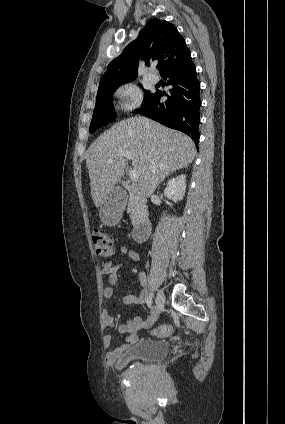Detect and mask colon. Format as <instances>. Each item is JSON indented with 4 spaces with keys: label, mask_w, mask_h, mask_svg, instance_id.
<instances>
[{
    "label": "colon",
    "mask_w": 285,
    "mask_h": 424,
    "mask_svg": "<svg viewBox=\"0 0 285 424\" xmlns=\"http://www.w3.org/2000/svg\"><path fill=\"white\" fill-rule=\"evenodd\" d=\"M113 241L114 238L111 234L95 230L92 234V245L96 256L102 260H108L113 255ZM173 327L169 324H162L158 326L153 335L163 337L171 334Z\"/></svg>",
    "instance_id": "1"
}]
</instances>
